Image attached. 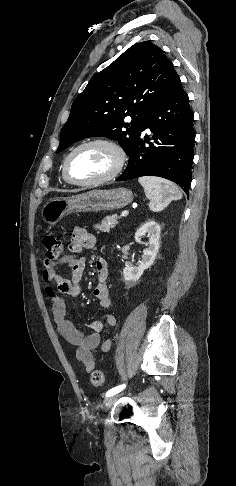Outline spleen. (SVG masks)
<instances>
[{"instance_id":"obj_1","label":"spleen","mask_w":236,"mask_h":486,"mask_svg":"<svg viewBox=\"0 0 236 486\" xmlns=\"http://www.w3.org/2000/svg\"><path fill=\"white\" fill-rule=\"evenodd\" d=\"M139 183L150 200L151 211L163 210L171 201L182 198V193L172 182L153 176L140 177Z\"/></svg>"}]
</instances>
